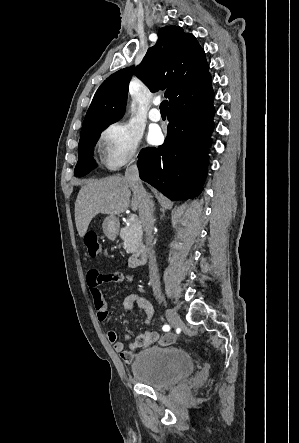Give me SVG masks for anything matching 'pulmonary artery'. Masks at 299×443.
Segmentation results:
<instances>
[{"label": "pulmonary artery", "mask_w": 299, "mask_h": 443, "mask_svg": "<svg viewBox=\"0 0 299 443\" xmlns=\"http://www.w3.org/2000/svg\"><path fill=\"white\" fill-rule=\"evenodd\" d=\"M153 104H154V107L149 111L148 116L152 121L157 122L161 119V114H160L159 110L157 109L159 101L154 100Z\"/></svg>", "instance_id": "1"}]
</instances>
